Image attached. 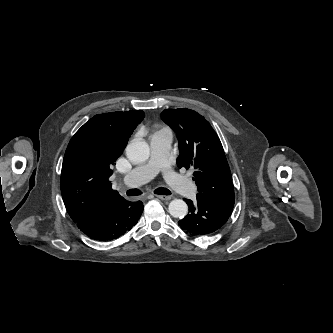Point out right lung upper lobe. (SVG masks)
<instances>
[{
    "label": "right lung upper lobe",
    "instance_id": "1",
    "mask_svg": "<svg viewBox=\"0 0 333 333\" xmlns=\"http://www.w3.org/2000/svg\"><path fill=\"white\" fill-rule=\"evenodd\" d=\"M143 118L142 110L98 114L71 138L62 164L61 193L75 223L89 222L125 203L109 177Z\"/></svg>",
    "mask_w": 333,
    "mask_h": 333
}]
</instances>
